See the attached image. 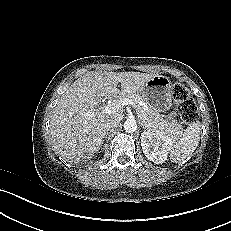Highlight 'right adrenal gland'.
Masks as SVG:
<instances>
[{
  "label": "right adrenal gland",
  "instance_id": "1",
  "mask_svg": "<svg viewBox=\"0 0 231 231\" xmlns=\"http://www.w3.org/2000/svg\"><path fill=\"white\" fill-rule=\"evenodd\" d=\"M108 134H109V132L106 133L105 138H107Z\"/></svg>",
  "mask_w": 231,
  "mask_h": 231
}]
</instances>
